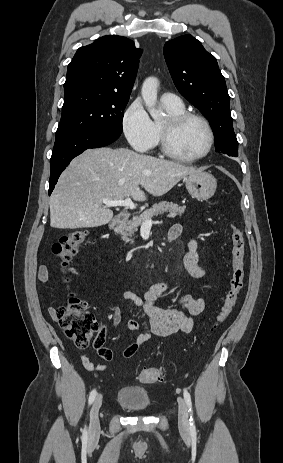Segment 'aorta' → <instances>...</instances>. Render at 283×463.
I'll use <instances>...</instances> for the list:
<instances>
[{"label":"aorta","mask_w":283,"mask_h":463,"mask_svg":"<svg viewBox=\"0 0 283 463\" xmlns=\"http://www.w3.org/2000/svg\"><path fill=\"white\" fill-rule=\"evenodd\" d=\"M158 86V79L155 77H149L144 81L141 89L145 106L155 121L162 117L161 111L156 108Z\"/></svg>","instance_id":"762f6f07"}]
</instances>
